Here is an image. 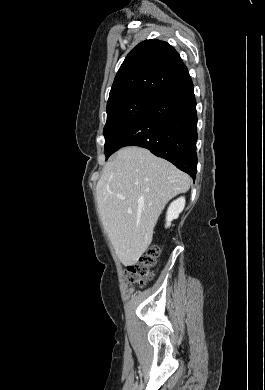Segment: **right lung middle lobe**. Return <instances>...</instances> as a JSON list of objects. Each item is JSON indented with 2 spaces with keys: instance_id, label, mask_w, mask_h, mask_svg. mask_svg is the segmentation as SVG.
I'll use <instances>...</instances> for the list:
<instances>
[{
  "instance_id": "right-lung-middle-lobe-1",
  "label": "right lung middle lobe",
  "mask_w": 265,
  "mask_h": 390,
  "mask_svg": "<svg viewBox=\"0 0 265 390\" xmlns=\"http://www.w3.org/2000/svg\"><path fill=\"white\" fill-rule=\"evenodd\" d=\"M155 98L149 95H134L107 105V122L103 129L106 159L116 151V144L128 126Z\"/></svg>"
}]
</instances>
